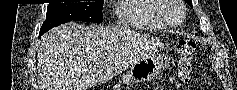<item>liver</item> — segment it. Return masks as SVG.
<instances>
[{
    "instance_id": "liver-1",
    "label": "liver",
    "mask_w": 237,
    "mask_h": 90,
    "mask_svg": "<svg viewBox=\"0 0 237 90\" xmlns=\"http://www.w3.org/2000/svg\"><path fill=\"white\" fill-rule=\"evenodd\" d=\"M116 28L65 24L42 36L38 68L43 90H89L118 68Z\"/></svg>"
}]
</instances>
